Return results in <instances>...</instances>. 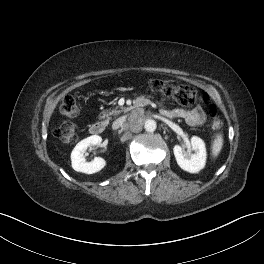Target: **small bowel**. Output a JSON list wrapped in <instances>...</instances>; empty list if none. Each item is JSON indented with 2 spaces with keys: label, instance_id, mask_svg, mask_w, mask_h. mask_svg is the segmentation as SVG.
Instances as JSON below:
<instances>
[{
  "label": "small bowel",
  "instance_id": "obj_1",
  "mask_svg": "<svg viewBox=\"0 0 264 264\" xmlns=\"http://www.w3.org/2000/svg\"><path fill=\"white\" fill-rule=\"evenodd\" d=\"M162 113L170 118H181L191 126H197L204 123L206 116L201 106H195L191 109H163Z\"/></svg>",
  "mask_w": 264,
  "mask_h": 264
}]
</instances>
